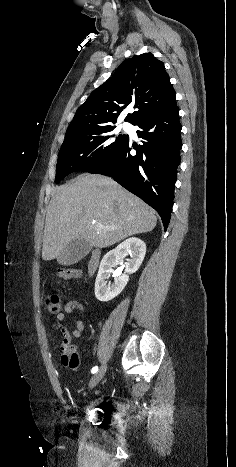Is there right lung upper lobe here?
I'll return each mask as SVG.
<instances>
[{"mask_svg": "<svg viewBox=\"0 0 236 467\" xmlns=\"http://www.w3.org/2000/svg\"><path fill=\"white\" fill-rule=\"evenodd\" d=\"M173 100L175 91L164 64L153 54L145 53L125 60L87 98L76 111L66 135L109 127L131 103H135L137 111L128 114L125 121L135 125Z\"/></svg>", "mask_w": 236, "mask_h": 467, "instance_id": "1", "label": "right lung upper lobe"}]
</instances>
